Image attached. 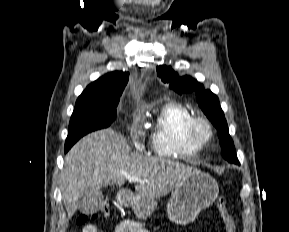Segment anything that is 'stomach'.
I'll return each mask as SVG.
<instances>
[{
  "label": "stomach",
  "instance_id": "0dacf381",
  "mask_svg": "<svg viewBox=\"0 0 289 232\" xmlns=\"http://www.w3.org/2000/svg\"><path fill=\"white\" fill-rule=\"evenodd\" d=\"M218 184L213 177L193 169L187 179L175 189L167 205L169 219L180 225L195 220L200 211L209 207L218 197ZM117 201L134 210L136 217L144 220L153 213L156 207L154 198L120 191Z\"/></svg>",
  "mask_w": 289,
  "mask_h": 232
}]
</instances>
